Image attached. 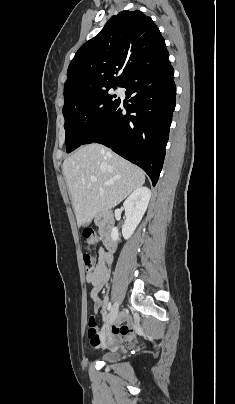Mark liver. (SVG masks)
<instances>
[{"label":"liver","instance_id":"6515ba94","mask_svg":"<svg viewBox=\"0 0 235 404\" xmlns=\"http://www.w3.org/2000/svg\"><path fill=\"white\" fill-rule=\"evenodd\" d=\"M62 170L79 226L114 208L145 182L139 167L97 143L80 147L65 159Z\"/></svg>","mask_w":235,"mask_h":404}]
</instances>
